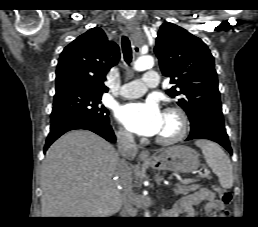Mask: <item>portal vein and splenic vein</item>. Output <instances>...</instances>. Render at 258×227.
Wrapping results in <instances>:
<instances>
[{
    "label": "portal vein and splenic vein",
    "instance_id": "obj_1",
    "mask_svg": "<svg viewBox=\"0 0 258 227\" xmlns=\"http://www.w3.org/2000/svg\"><path fill=\"white\" fill-rule=\"evenodd\" d=\"M194 181H196V180L191 179V178H186V179H183L181 182L177 183L176 187H179L181 185H188V184H191Z\"/></svg>",
    "mask_w": 258,
    "mask_h": 227
}]
</instances>
